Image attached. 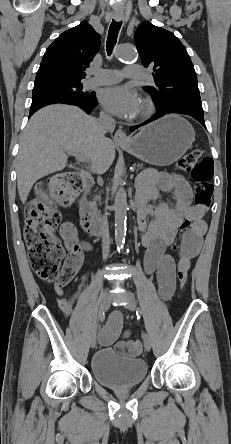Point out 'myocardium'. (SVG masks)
<instances>
[{
  "mask_svg": "<svg viewBox=\"0 0 231 444\" xmlns=\"http://www.w3.org/2000/svg\"><path fill=\"white\" fill-rule=\"evenodd\" d=\"M153 111H154V105L152 101L147 97L142 98L140 101L138 117L147 118L153 113Z\"/></svg>",
  "mask_w": 231,
  "mask_h": 444,
  "instance_id": "myocardium-1",
  "label": "myocardium"
}]
</instances>
